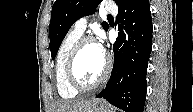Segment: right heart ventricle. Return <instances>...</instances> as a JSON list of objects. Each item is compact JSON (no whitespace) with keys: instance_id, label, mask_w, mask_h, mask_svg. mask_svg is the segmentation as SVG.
I'll use <instances>...</instances> for the list:
<instances>
[{"instance_id":"right-heart-ventricle-1","label":"right heart ventricle","mask_w":193,"mask_h":112,"mask_svg":"<svg viewBox=\"0 0 193 112\" xmlns=\"http://www.w3.org/2000/svg\"><path fill=\"white\" fill-rule=\"evenodd\" d=\"M81 37V34L74 30L69 31L59 44L55 60V79L59 95L65 99H71L78 95L79 91L75 90L69 83L66 75V63L71 48Z\"/></svg>"}]
</instances>
